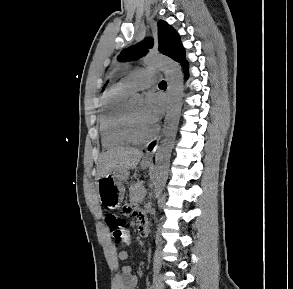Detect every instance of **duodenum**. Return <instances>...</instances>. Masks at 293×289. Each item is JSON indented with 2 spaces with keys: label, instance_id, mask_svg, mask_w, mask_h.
Wrapping results in <instances>:
<instances>
[{
  "label": "duodenum",
  "instance_id": "obj_1",
  "mask_svg": "<svg viewBox=\"0 0 293 289\" xmlns=\"http://www.w3.org/2000/svg\"><path fill=\"white\" fill-rule=\"evenodd\" d=\"M140 234L146 236L149 231V224L146 218H141L139 225Z\"/></svg>",
  "mask_w": 293,
  "mask_h": 289
}]
</instances>
